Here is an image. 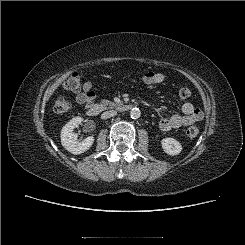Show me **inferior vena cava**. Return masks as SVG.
Returning a JSON list of instances; mask_svg holds the SVG:
<instances>
[{
	"label": "inferior vena cava",
	"instance_id": "1",
	"mask_svg": "<svg viewBox=\"0 0 245 245\" xmlns=\"http://www.w3.org/2000/svg\"><path fill=\"white\" fill-rule=\"evenodd\" d=\"M116 114H117V112L115 110L106 111L101 115V118L107 119V118L115 116Z\"/></svg>",
	"mask_w": 245,
	"mask_h": 245
}]
</instances>
